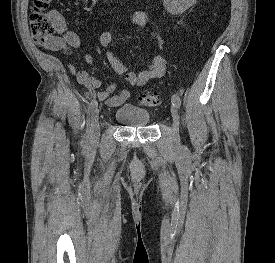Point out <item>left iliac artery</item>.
I'll use <instances>...</instances> for the list:
<instances>
[{
  "label": "left iliac artery",
  "mask_w": 275,
  "mask_h": 263,
  "mask_svg": "<svg viewBox=\"0 0 275 263\" xmlns=\"http://www.w3.org/2000/svg\"><path fill=\"white\" fill-rule=\"evenodd\" d=\"M172 104L176 106L177 108H180L181 106V99L178 95L174 94L171 98Z\"/></svg>",
  "instance_id": "left-iliac-artery-1"
}]
</instances>
